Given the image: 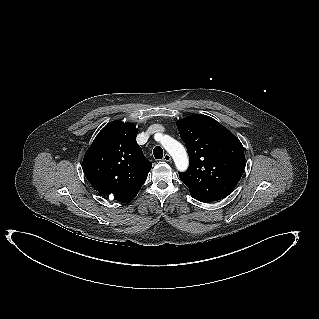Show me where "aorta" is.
Segmentation results:
<instances>
[{"label": "aorta", "mask_w": 319, "mask_h": 319, "mask_svg": "<svg viewBox=\"0 0 319 319\" xmlns=\"http://www.w3.org/2000/svg\"><path fill=\"white\" fill-rule=\"evenodd\" d=\"M163 148L172 156L175 166L179 172L188 169L189 159L184 146L168 135H162L160 139Z\"/></svg>", "instance_id": "obj_1"}]
</instances>
